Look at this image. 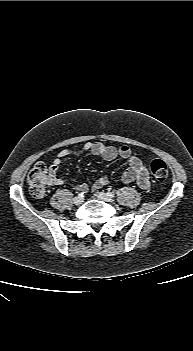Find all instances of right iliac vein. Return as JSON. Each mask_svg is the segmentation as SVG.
<instances>
[{
    "label": "right iliac vein",
    "instance_id": "right-iliac-vein-1",
    "mask_svg": "<svg viewBox=\"0 0 193 351\" xmlns=\"http://www.w3.org/2000/svg\"><path fill=\"white\" fill-rule=\"evenodd\" d=\"M83 200H84L83 197L77 196L73 199V202L75 205H81L83 203Z\"/></svg>",
    "mask_w": 193,
    "mask_h": 351
}]
</instances>
